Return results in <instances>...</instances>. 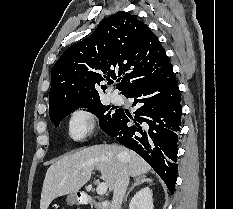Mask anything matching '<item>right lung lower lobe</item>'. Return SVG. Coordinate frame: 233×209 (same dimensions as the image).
Instances as JSON below:
<instances>
[{
	"instance_id": "1",
	"label": "right lung lower lobe",
	"mask_w": 233,
	"mask_h": 209,
	"mask_svg": "<svg viewBox=\"0 0 233 209\" xmlns=\"http://www.w3.org/2000/svg\"><path fill=\"white\" fill-rule=\"evenodd\" d=\"M125 96L134 98L133 105H138L135 116L119 110L105 133L143 157L173 194L182 106L172 66L151 83Z\"/></svg>"
}]
</instances>
